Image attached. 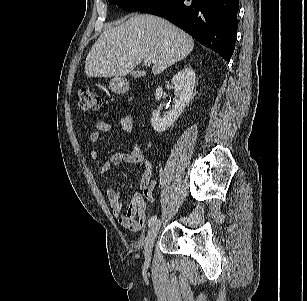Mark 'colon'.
Instances as JSON below:
<instances>
[{
    "label": "colon",
    "mask_w": 307,
    "mask_h": 301,
    "mask_svg": "<svg viewBox=\"0 0 307 301\" xmlns=\"http://www.w3.org/2000/svg\"><path fill=\"white\" fill-rule=\"evenodd\" d=\"M78 105L81 110L87 112H99L101 100L97 93L91 89L83 88L78 92Z\"/></svg>",
    "instance_id": "obj_1"
}]
</instances>
